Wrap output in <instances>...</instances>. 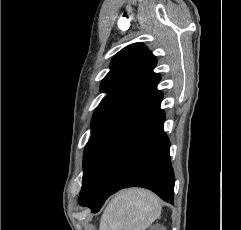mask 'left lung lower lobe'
<instances>
[{
  "label": "left lung lower lobe",
  "mask_w": 241,
  "mask_h": 230,
  "mask_svg": "<svg viewBox=\"0 0 241 230\" xmlns=\"http://www.w3.org/2000/svg\"><path fill=\"white\" fill-rule=\"evenodd\" d=\"M162 98L160 93L97 151L83 179L80 205L96 213L111 194L132 186L148 188L163 200L173 202L175 178L170 142L163 130Z\"/></svg>",
  "instance_id": "left-lung-lower-lobe-1"
}]
</instances>
